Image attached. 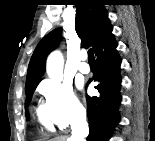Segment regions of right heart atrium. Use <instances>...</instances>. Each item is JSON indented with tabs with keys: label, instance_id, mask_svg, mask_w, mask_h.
<instances>
[{
	"label": "right heart atrium",
	"instance_id": "d8ad5b80",
	"mask_svg": "<svg viewBox=\"0 0 155 141\" xmlns=\"http://www.w3.org/2000/svg\"><path fill=\"white\" fill-rule=\"evenodd\" d=\"M45 100V111L57 127L64 129L80 122L84 117V107L68 82L48 79L39 86Z\"/></svg>",
	"mask_w": 155,
	"mask_h": 141
}]
</instances>
